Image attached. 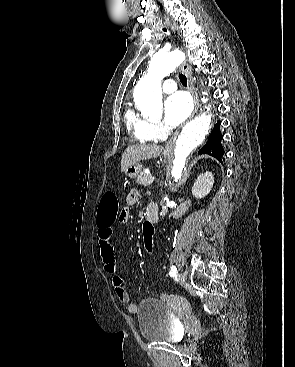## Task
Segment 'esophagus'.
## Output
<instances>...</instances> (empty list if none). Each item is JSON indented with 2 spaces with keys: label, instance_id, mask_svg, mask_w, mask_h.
<instances>
[{
  "label": "esophagus",
  "instance_id": "obj_1",
  "mask_svg": "<svg viewBox=\"0 0 295 367\" xmlns=\"http://www.w3.org/2000/svg\"><path fill=\"white\" fill-rule=\"evenodd\" d=\"M172 30L174 31L175 28L172 26ZM181 71L187 76L188 78V89L191 92L193 99H194V107H193V111L192 114L190 115L189 119H191L192 117H194L195 113L198 110L199 107V101H198V96H197V92L195 91V88L193 86V83L191 81V71H190V67L186 64V63H182L180 66ZM179 134V131H176L173 136L169 139V141L167 142L166 146H165V151L166 152H171L173 150L176 138Z\"/></svg>",
  "mask_w": 295,
  "mask_h": 367
}]
</instances>
